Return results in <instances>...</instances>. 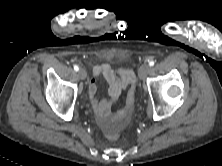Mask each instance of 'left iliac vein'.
I'll list each match as a JSON object with an SVG mask.
<instances>
[{
	"label": "left iliac vein",
	"mask_w": 222,
	"mask_h": 166,
	"mask_svg": "<svg viewBox=\"0 0 222 166\" xmlns=\"http://www.w3.org/2000/svg\"><path fill=\"white\" fill-rule=\"evenodd\" d=\"M149 71H150V66L148 64L141 65L139 68V71H138L140 79H142V80L145 79V77L148 75Z\"/></svg>",
	"instance_id": "left-iliac-vein-1"
}]
</instances>
